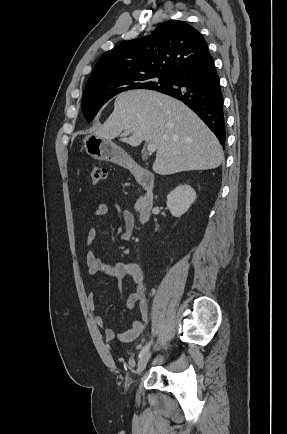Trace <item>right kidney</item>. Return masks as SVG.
<instances>
[{"label": "right kidney", "instance_id": "obj_1", "mask_svg": "<svg viewBox=\"0 0 287 434\" xmlns=\"http://www.w3.org/2000/svg\"><path fill=\"white\" fill-rule=\"evenodd\" d=\"M196 199L195 190L187 184L179 185L167 195V206L174 217L182 216Z\"/></svg>", "mask_w": 287, "mask_h": 434}]
</instances>
